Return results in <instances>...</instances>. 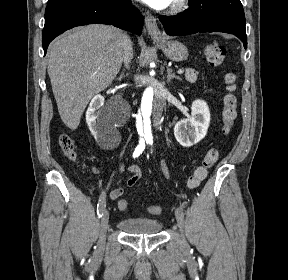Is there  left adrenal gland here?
<instances>
[{
    "label": "left adrenal gland",
    "instance_id": "left-adrenal-gland-1",
    "mask_svg": "<svg viewBox=\"0 0 288 280\" xmlns=\"http://www.w3.org/2000/svg\"><path fill=\"white\" fill-rule=\"evenodd\" d=\"M167 74V83H170L172 79L181 80V78L175 75L170 68H167Z\"/></svg>",
    "mask_w": 288,
    "mask_h": 280
}]
</instances>
